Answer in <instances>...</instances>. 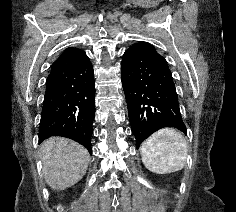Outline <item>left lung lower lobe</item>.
Returning <instances> with one entry per match:
<instances>
[{
    "mask_svg": "<svg viewBox=\"0 0 236 212\" xmlns=\"http://www.w3.org/2000/svg\"><path fill=\"white\" fill-rule=\"evenodd\" d=\"M121 78L137 147L164 127L187 133L171 71L153 45L140 41L125 51Z\"/></svg>",
    "mask_w": 236,
    "mask_h": 212,
    "instance_id": "left-lung-lower-lobe-1",
    "label": "left lung lower lobe"
}]
</instances>
